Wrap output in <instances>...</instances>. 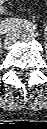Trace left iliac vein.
<instances>
[{
	"label": "left iliac vein",
	"mask_w": 47,
	"mask_h": 129,
	"mask_svg": "<svg viewBox=\"0 0 47 129\" xmlns=\"http://www.w3.org/2000/svg\"><path fill=\"white\" fill-rule=\"evenodd\" d=\"M20 38L23 41L28 42V41L36 39L37 38V34L34 33V32L21 31L20 32Z\"/></svg>",
	"instance_id": "4c4485c4"
}]
</instances>
